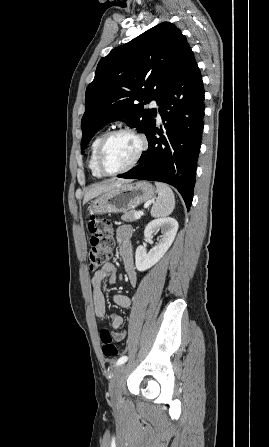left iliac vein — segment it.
<instances>
[{"instance_id":"obj_1","label":"left iliac vein","mask_w":269,"mask_h":447,"mask_svg":"<svg viewBox=\"0 0 269 447\" xmlns=\"http://www.w3.org/2000/svg\"><path fill=\"white\" fill-rule=\"evenodd\" d=\"M126 365H120L112 375L110 380L109 392L111 395V401L114 405L121 403L122 401V379L126 373Z\"/></svg>"}]
</instances>
